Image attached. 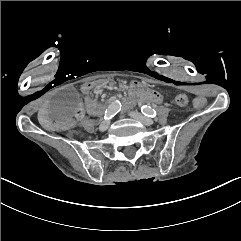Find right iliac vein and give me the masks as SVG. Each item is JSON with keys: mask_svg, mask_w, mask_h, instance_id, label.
I'll return each instance as SVG.
<instances>
[{"mask_svg": "<svg viewBox=\"0 0 241 241\" xmlns=\"http://www.w3.org/2000/svg\"><path fill=\"white\" fill-rule=\"evenodd\" d=\"M109 124H110V121H109V120L103 121V122L100 124V126H99V130H100V131H105L106 129H108Z\"/></svg>", "mask_w": 241, "mask_h": 241, "instance_id": "63e3f726", "label": "right iliac vein"}]
</instances>
